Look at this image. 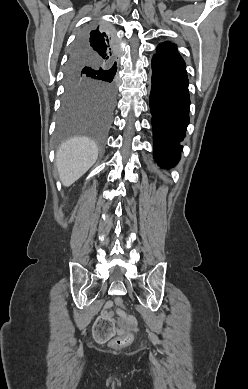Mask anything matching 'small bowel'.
<instances>
[{
  "instance_id": "c3829d8e",
  "label": "small bowel",
  "mask_w": 248,
  "mask_h": 389,
  "mask_svg": "<svg viewBox=\"0 0 248 389\" xmlns=\"http://www.w3.org/2000/svg\"><path fill=\"white\" fill-rule=\"evenodd\" d=\"M112 301H108L105 305V309L102 311V314L103 316L105 317H111L112 315V312H111V308H112ZM121 327H125L129 330H134L135 329V321L133 318H128L127 320H125L124 322L121 323ZM119 332L121 333L122 330L120 329Z\"/></svg>"
}]
</instances>
